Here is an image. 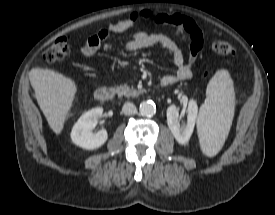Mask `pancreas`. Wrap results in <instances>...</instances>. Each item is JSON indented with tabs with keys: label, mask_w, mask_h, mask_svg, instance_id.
<instances>
[{
	"label": "pancreas",
	"mask_w": 275,
	"mask_h": 215,
	"mask_svg": "<svg viewBox=\"0 0 275 215\" xmlns=\"http://www.w3.org/2000/svg\"><path fill=\"white\" fill-rule=\"evenodd\" d=\"M116 92L118 95L125 96V97H136L138 96L142 91L141 90H136L133 88H130L127 85H120L116 88Z\"/></svg>",
	"instance_id": "1"
}]
</instances>
